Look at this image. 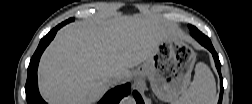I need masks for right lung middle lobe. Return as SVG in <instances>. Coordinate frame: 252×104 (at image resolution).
I'll use <instances>...</instances> for the list:
<instances>
[{
	"instance_id": "right-lung-middle-lobe-1",
	"label": "right lung middle lobe",
	"mask_w": 252,
	"mask_h": 104,
	"mask_svg": "<svg viewBox=\"0 0 252 104\" xmlns=\"http://www.w3.org/2000/svg\"><path fill=\"white\" fill-rule=\"evenodd\" d=\"M73 20H74L73 18H70V19L66 20V21L64 22V24H67V23H69V22H71V21H73Z\"/></svg>"
}]
</instances>
